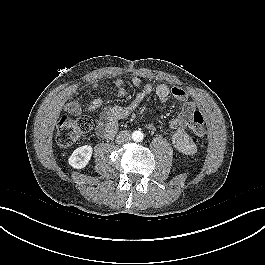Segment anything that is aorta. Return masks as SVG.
Here are the masks:
<instances>
[{
	"mask_svg": "<svg viewBox=\"0 0 265 265\" xmlns=\"http://www.w3.org/2000/svg\"><path fill=\"white\" fill-rule=\"evenodd\" d=\"M144 138V134L141 132V131H134L132 133V139L135 141V142H141Z\"/></svg>",
	"mask_w": 265,
	"mask_h": 265,
	"instance_id": "1",
	"label": "aorta"
}]
</instances>
